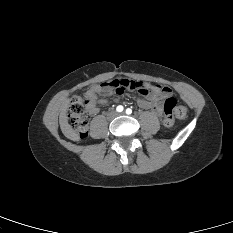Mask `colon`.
Returning <instances> with one entry per match:
<instances>
[{
    "instance_id": "1",
    "label": "colon",
    "mask_w": 233,
    "mask_h": 233,
    "mask_svg": "<svg viewBox=\"0 0 233 233\" xmlns=\"http://www.w3.org/2000/svg\"><path fill=\"white\" fill-rule=\"evenodd\" d=\"M104 87L111 89L117 94H122L126 90L144 91L142 84L139 81L128 79H116L113 81L104 82ZM88 101L86 97L74 96L69 103V117L72 123L73 135L77 138L84 139L88 135V123L85 117ZM164 124L167 127H172L175 120H183L187 116L185 106L179 104L175 98L168 97L164 102Z\"/></svg>"
}]
</instances>
